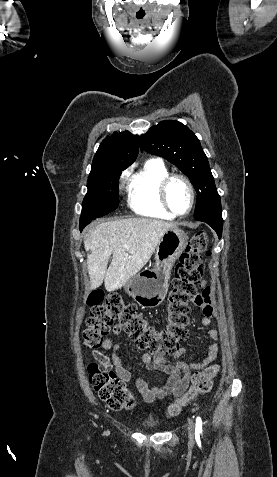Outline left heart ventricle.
<instances>
[{
    "label": "left heart ventricle",
    "instance_id": "obj_1",
    "mask_svg": "<svg viewBox=\"0 0 277 477\" xmlns=\"http://www.w3.org/2000/svg\"><path fill=\"white\" fill-rule=\"evenodd\" d=\"M168 200L177 213H185L190 205V193L187 185L179 179L173 180L168 188Z\"/></svg>",
    "mask_w": 277,
    "mask_h": 477
}]
</instances>
